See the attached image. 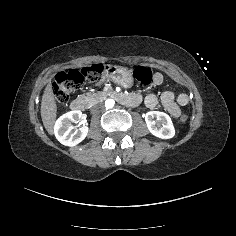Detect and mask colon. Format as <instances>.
Returning a JSON list of instances; mask_svg holds the SVG:
<instances>
[{
	"label": "colon",
	"mask_w": 236,
	"mask_h": 236,
	"mask_svg": "<svg viewBox=\"0 0 236 236\" xmlns=\"http://www.w3.org/2000/svg\"><path fill=\"white\" fill-rule=\"evenodd\" d=\"M102 72L100 64L86 66L80 69H72L67 72H60L56 75L53 90L57 102L64 105L68 102L71 94L85 81L93 82L98 79ZM135 78L142 84H150L153 80V71L148 67H137L134 71ZM182 123L186 122L188 115L182 113L179 117Z\"/></svg>",
	"instance_id": "5ec220e1"
}]
</instances>
